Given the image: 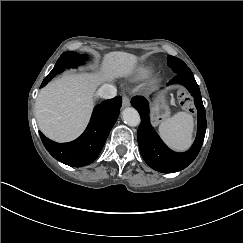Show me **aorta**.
<instances>
[{"label":"aorta","mask_w":243,"mask_h":243,"mask_svg":"<svg viewBox=\"0 0 243 243\" xmlns=\"http://www.w3.org/2000/svg\"><path fill=\"white\" fill-rule=\"evenodd\" d=\"M123 120L129 127H138L141 124V117L134 108H126L124 110Z\"/></svg>","instance_id":"obj_1"}]
</instances>
